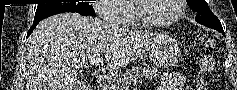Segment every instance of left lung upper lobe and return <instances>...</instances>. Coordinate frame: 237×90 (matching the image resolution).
Here are the masks:
<instances>
[{
  "label": "left lung upper lobe",
  "mask_w": 237,
  "mask_h": 90,
  "mask_svg": "<svg viewBox=\"0 0 237 90\" xmlns=\"http://www.w3.org/2000/svg\"><path fill=\"white\" fill-rule=\"evenodd\" d=\"M187 4L193 11L197 12L196 22L224 33L219 19L211 12L205 0H187Z\"/></svg>",
  "instance_id": "left-lung-upper-lobe-1"
}]
</instances>
